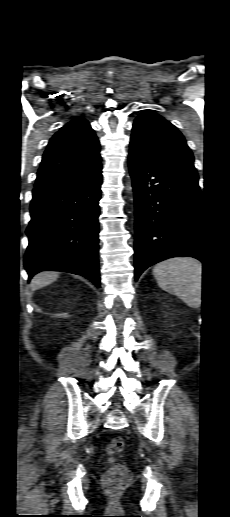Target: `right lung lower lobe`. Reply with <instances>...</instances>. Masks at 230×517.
I'll return each instance as SVG.
<instances>
[{
	"mask_svg": "<svg viewBox=\"0 0 230 517\" xmlns=\"http://www.w3.org/2000/svg\"><path fill=\"white\" fill-rule=\"evenodd\" d=\"M101 164L86 174L35 187L26 230L29 279L46 270L82 275L100 287L98 269Z\"/></svg>",
	"mask_w": 230,
	"mask_h": 517,
	"instance_id": "obj_1",
	"label": "right lung lower lobe"
}]
</instances>
